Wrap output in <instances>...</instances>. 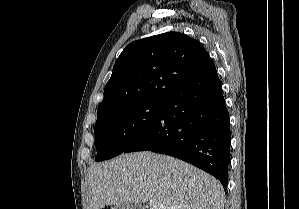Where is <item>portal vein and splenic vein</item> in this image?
Segmentation results:
<instances>
[{
	"label": "portal vein and splenic vein",
	"instance_id": "18ae733b",
	"mask_svg": "<svg viewBox=\"0 0 299 209\" xmlns=\"http://www.w3.org/2000/svg\"><path fill=\"white\" fill-rule=\"evenodd\" d=\"M149 205H150L151 209H172V208H169V207L158 206L157 202H155L153 200L149 201Z\"/></svg>",
	"mask_w": 299,
	"mask_h": 209
}]
</instances>
